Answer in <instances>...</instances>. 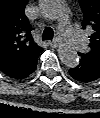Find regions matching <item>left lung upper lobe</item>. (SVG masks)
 <instances>
[{"instance_id":"5c2ea615","label":"left lung upper lobe","mask_w":100,"mask_h":118,"mask_svg":"<svg viewBox=\"0 0 100 118\" xmlns=\"http://www.w3.org/2000/svg\"><path fill=\"white\" fill-rule=\"evenodd\" d=\"M83 12V29H91L90 51L79 53L86 61L100 67V0H79Z\"/></svg>"}]
</instances>
